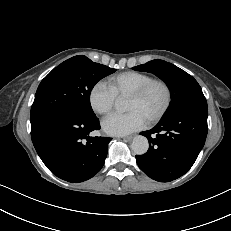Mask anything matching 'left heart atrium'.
<instances>
[{"mask_svg":"<svg viewBox=\"0 0 231 231\" xmlns=\"http://www.w3.org/2000/svg\"><path fill=\"white\" fill-rule=\"evenodd\" d=\"M147 118L138 111L112 114L102 121L103 131L112 136H124L144 128Z\"/></svg>","mask_w":231,"mask_h":231,"instance_id":"obj_1","label":"left heart atrium"}]
</instances>
